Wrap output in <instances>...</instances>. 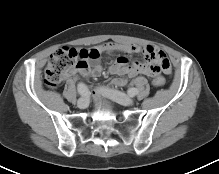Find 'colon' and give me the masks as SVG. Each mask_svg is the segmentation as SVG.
Masks as SVG:
<instances>
[{
  "label": "colon",
  "mask_w": 219,
  "mask_h": 174,
  "mask_svg": "<svg viewBox=\"0 0 219 174\" xmlns=\"http://www.w3.org/2000/svg\"><path fill=\"white\" fill-rule=\"evenodd\" d=\"M99 54L95 50L86 53L78 52L75 49L61 48L56 50L50 57L45 69V83L50 88L57 87L64 78L74 69H76L82 59L95 58ZM165 84L163 77H156L153 80L155 88H161Z\"/></svg>",
  "instance_id": "obj_1"
}]
</instances>
